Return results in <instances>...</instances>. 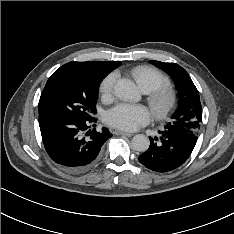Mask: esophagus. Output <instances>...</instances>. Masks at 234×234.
<instances>
[{
	"mask_svg": "<svg viewBox=\"0 0 234 234\" xmlns=\"http://www.w3.org/2000/svg\"><path fill=\"white\" fill-rule=\"evenodd\" d=\"M115 133H116V134H119V135L126 136V137H132V136H133L132 133L124 132V131H116Z\"/></svg>",
	"mask_w": 234,
	"mask_h": 234,
	"instance_id": "1",
	"label": "esophagus"
}]
</instances>
